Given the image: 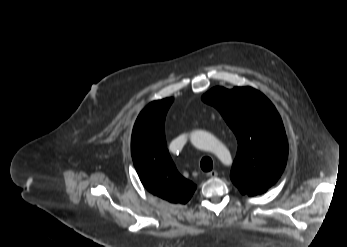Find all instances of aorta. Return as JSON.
Masks as SVG:
<instances>
[{
    "label": "aorta",
    "mask_w": 347,
    "mask_h": 247,
    "mask_svg": "<svg viewBox=\"0 0 347 247\" xmlns=\"http://www.w3.org/2000/svg\"><path fill=\"white\" fill-rule=\"evenodd\" d=\"M192 144L201 150H207L220 156L226 152V148L223 144L217 141L213 135L203 130H195L190 134Z\"/></svg>",
    "instance_id": "aorta-1"
}]
</instances>
